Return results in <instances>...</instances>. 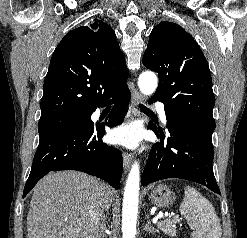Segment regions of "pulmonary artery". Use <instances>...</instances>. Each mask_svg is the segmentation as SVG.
Listing matches in <instances>:
<instances>
[{"label": "pulmonary artery", "instance_id": "e3ab8cb5", "mask_svg": "<svg viewBox=\"0 0 247 238\" xmlns=\"http://www.w3.org/2000/svg\"><path fill=\"white\" fill-rule=\"evenodd\" d=\"M156 109L163 122H166V111L162 103H156Z\"/></svg>", "mask_w": 247, "mask_h": 238}]
</instances>
